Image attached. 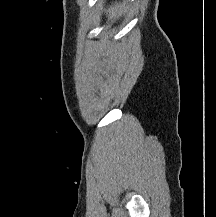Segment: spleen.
Listing matches in <instances>:
<instances>
[{
    "instance_id": "1",
    "label": "spleen",
    "mask_w": 216,
    "mask_h": 217,
    "mask_svg": "<svg viewBox=\"0 0 216 217\" xmlns=\"http://www.w3.org/2000/svg\"><path fill=\"white\" fill-rule=\"evenodd\" d=\"M126 9L125 4H116L108 10L109 18L115 19L121 15V13Z\"/></svg>"
}]
</instances>
